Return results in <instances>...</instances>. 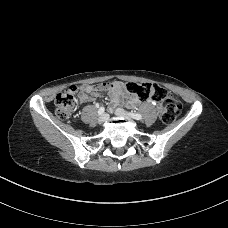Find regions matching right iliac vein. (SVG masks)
<instances>
[{"mask_svg":"<svg viewBox=\"0 0 228 228\" xmlns=\"http://www.w3.org/2000/svg\"><path fill=\"white\" fill-rule=\"evenodd\" d=\"M108 114H102L99 118H98V123L99 124H103L105 121H107L108 119Z\"/></svg>","mask_w":228,"mask_h":228,"instance_id":"obj_1","label":"right iliac vein"}]
</instances>
